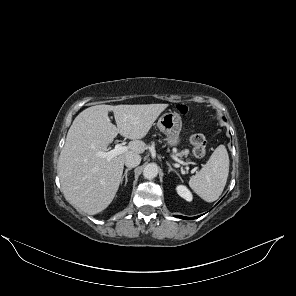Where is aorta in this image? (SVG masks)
<instances>
[{
    "label": "aorta",
    "mask_w": 296,
    "mask_h": 296,
    "mask_svg": "<svg viewBox=\"0 0 296 296\" xmlns=\"http://www.w3.org/2000/svg\"><path fill=\"white\" fill-rule=\"evenodd\" d=\"M157 174H158V167L154 163H150L146 165L143 170V176L146 179H153L157 176Z\"/></svg>",
    "instance_id": "762f6f07"
}]
</instances>
